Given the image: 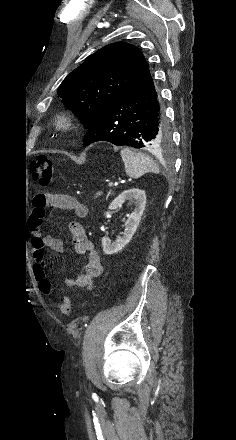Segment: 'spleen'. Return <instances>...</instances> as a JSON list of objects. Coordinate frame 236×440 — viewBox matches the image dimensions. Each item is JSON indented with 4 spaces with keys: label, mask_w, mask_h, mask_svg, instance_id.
Masks as SVG:
<instances>
[{
    "label": "spleen",
    "mask_w": 236,
    "mask_h": 440,
    "mask_svg": "<svg viewBox=\"0 0 236 440\" xmlns=\"http://www.w3.org/2000/svg\"><path fill=\"white\" fill-rule=\"evenodd\" d=\"M125 166L126 174L134 179H138L147 172L158 173L159 169L153 159L131 148H123L120 152Z\"/></svg>",
    "instance_id": "1"
}]
</instances>
